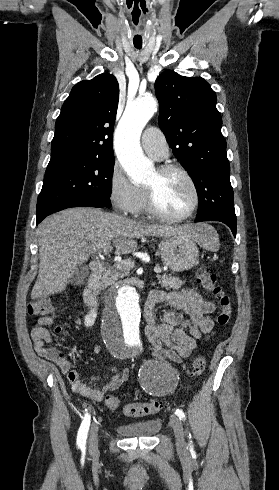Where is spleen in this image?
<instances>
[{
    "mask_svg": "<svg viewBox=\"0 0 279 490\" xmlns=\"http://www.w3.org/2000/svg\"><path fill=\"white\" fill-rule=\"evenodd\" d=\"M197 242L203 250H209V252H218L220 248L218 234L215 228L208 226V224H205V228Z\"/></svg>",
    "mask_w": 279,
    "mask_h": 490,
    "instance_id": "spleen-1",
    "label": "spleen"
}]
</instances>
